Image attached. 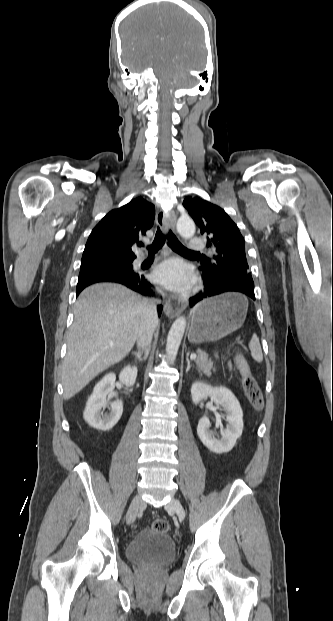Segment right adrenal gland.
<instances>
[{
	"mask_svg": "<svg viewBox=\"0 0 333 621\" xmlns=\"http://www.w3.org/2000/svg\"><path fill=\"white\" fill-rule=\"evenodd\" d=\"M142 354H143V352H141V351H134V352H132V355H134V356H135V358H136L139 362H142V361H144V360H146V359L148 358V355H149V349L145 350V352H144V356H142Z\"/></svg>",
	"mask_w": 333,
	"mask_h": 621,
	"instance_id": "right-adrenal-gland-1",
	"label": "right adrenal gland"
}]
</instances>
